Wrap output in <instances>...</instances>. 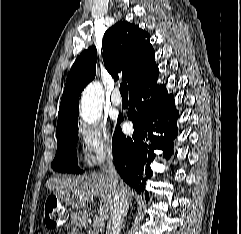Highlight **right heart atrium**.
<instances>
[{
  "mask_svg": "<svg viewBox=\"0 0 241 234\" xmlns=\"http://www.w3.org/2000/svg\"><path fill=\"white\" fill-rule=\"evenodd\" d=\"M82 145L84 163L94 167L103 163L114 153V141L105 125L82 124L77 129Z\"/></svg>",
  "mask_w": 241,
  "mask_h": 234,
  "instance_id": "right-heart-atrium-1",
  "label": "right heart atrium"
}]
</instances>
